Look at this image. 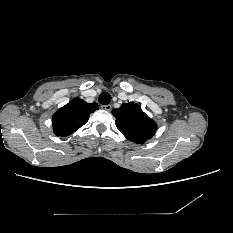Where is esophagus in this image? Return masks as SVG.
Masks as SVG:
<instances>
[{"label": "esophagus", "mask_w": 233, "mask_h": 233, "mask_svg": "<svg viewBox=\"0 0 233 233\" xmlns=\"http://www.w3.org/2000/svg\"><path fill=\"white\" fill-rule=\"evenodd\" d=\"M101 109L106 110V111H111L112 110V106L109 105V104L108 105H102Z\"/></svg>", "instance_id": "obj_1"}]
</instances>
